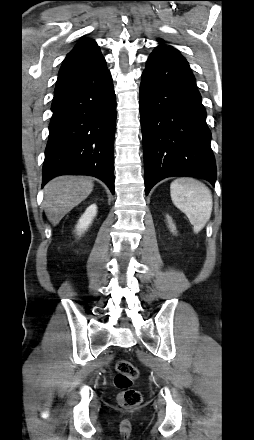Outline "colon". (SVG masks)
<instances>
[{
    "label": "colon",
    "mask_w": 254,
    "mask_h": 440,
    "mask_svg": "<svg viewBox=\"0 0 254 440\" xmlns=\"http://www.w3.org/2000/svg\"><path fill=\"white\" fill-rule=\"evenodd\" d=\"M115 369L114 384L120 390L117 396L119 405L123 408L139 406L142 402V395L140 391L132 388L134 380L138 377V369L124 359L116 362Z\"/></svg>",
    "instance_id": "5ec220e1"
}]
</instances>
